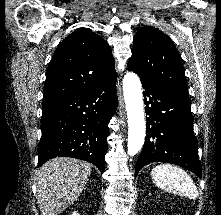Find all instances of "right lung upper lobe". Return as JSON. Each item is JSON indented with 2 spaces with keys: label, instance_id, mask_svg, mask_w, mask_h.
<instances>
[{
  "label": "right lung upper lobe",
  "instance_id": "right-lung-upper-lobe-1",
  "mask_svg": "<svg viewBox=\"0 0 221 215\" xmlns=\"http://www.w3.org/2000/svg\"><path fill=\"white\" fill-rule=\"evenodd\" d=\"M109 45L88 29H77L56 49L46 73L42 108L65 102L117 77Z\"/></svg>",
  "mask_w": 221,
  "mask_h": 215
}]
</instances>
